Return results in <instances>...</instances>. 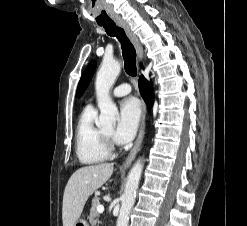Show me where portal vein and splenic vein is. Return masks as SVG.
Segmentation results:
<instances>
[{"instance_id": "obj_1", "label": "portal vein and splenic vein", "mask_w": 247, "mask_h": 226, "mask_svg": "<svg viewBox=\"0 0 247 226\" xmlns=\"http://www.w3.org/2000/svg\"><path fill=\"white\" fill-rule=\"evenodd\" d=\"M97 212H98V213H103V212H104V206L101 205V204L98 205V206H97Z\"/></svg>"}]
</instances>
